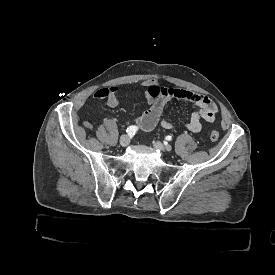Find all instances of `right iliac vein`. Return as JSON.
Listing matches in <instances>:
<instances>
[{
  "label": "right iliac vein",
  "mask_w": 275,
  "mask_h": 275,
  "mask_svg": "<svg viewBox=\"0 0 275 275\" xmlns=\"http://www.w3.org/2000/svg\"><path fill=\"white\" fill-rule=\"evenodd\" d=\"M131 141V137L129 135H122L121 138H120V145L122 147H126Z\"/></svg>",
  "instance_id": "63e3f726"
}]
</instances>
